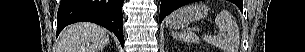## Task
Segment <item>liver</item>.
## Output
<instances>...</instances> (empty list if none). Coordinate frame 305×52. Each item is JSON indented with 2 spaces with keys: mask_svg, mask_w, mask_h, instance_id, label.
Returning a JSON list of instances; mask_svg holds the SVG:
<instances>
[{
  "mask_svg": "<svg viewBox=\"0 0 305 52\" xmlns=\"http://www.w3.org/2000/svg\"><path fill=\"white\" fill-rule=\"evenodd\" d=\"M106 29L93 23H77L66 27L59 40V52H99L109 43Z\"/></svg>",
  "mask_w": 305,
  "mask_h": 52,
  "instance_id": "1",
  "label": "liver"
}]
</instances>
